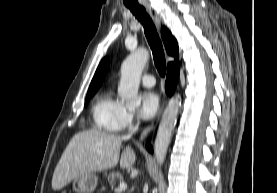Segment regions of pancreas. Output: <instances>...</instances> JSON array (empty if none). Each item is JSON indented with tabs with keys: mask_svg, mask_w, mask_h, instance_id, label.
<instances>
[{
	"mask_svg": "<svg viewBox=\"0 0 277 193\" xmlns=\"http://www.w3.org/2000/svg\"><path fill=\"white\" fill-rule=\"evenodd\" d=\"M105 177L107 178V180H109V182L111 184H114L116 179H118L120 181L123 180V175L118 171L117 172L112 171V172H109V173H105Z\"/></svg>",
	"mask_w": 277,
	"mask_h": 193,
	"instance_id": "obj_1",
	"label": "pancreas"
}]
</instances>
